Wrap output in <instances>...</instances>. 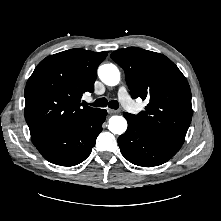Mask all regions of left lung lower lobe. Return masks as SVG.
<instances>
[{
	"instance_id": "0a47b994",
	"label": "left lung lower lobe",
	"mask_w": 221,
	"mask_h": 221,
	"mask_svg": "<svg viewBox=\"0 0 221 221\" xmlns=\"http://www.w3.org/2000/svg\"><path fill=\"white\" fill-rule=\"evenodd\" d=\"M127 131L118 138L122 155L131 163L153 167L171 159L182 145L160 139L147 131L132 114L124 113Z\"/></svg>"
}]
</instances>
